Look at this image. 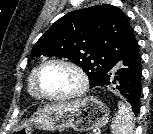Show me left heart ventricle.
Here are the masks:
<instances>
[{
	"label": "left heart ventricle",
	"instance_id": "1",
	"mask_svg": "<svg viewBox=\"0 0 153 134\" xmlns=\"http://www.w3.org/2000/svg\"><path fill=\"white\" fill-rule=\"evenodd\" d=\"M78 85L79 79L76 73L64 65H49L40 77V87L49 95L68 94L77 89Z\"/></svg>",
	"mask_w": 153,
	"mask_h": 134
}]
</instances>
